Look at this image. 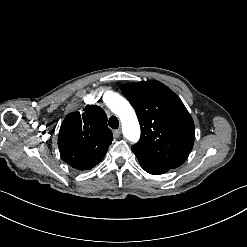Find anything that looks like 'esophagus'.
<instances>
[{"label":"esophagus","instance_id":"34e87169","mask_svg":"<svg viewBox=\"0 0 247 247\" xmlns=\"http://www.w3.org/2000/svg\"><path fill=\"white\" fill-rule=\"evenodd\" d=\"M121 135V130L117 129L113 131V136L115 139H117Z\"/></svg>","mask_w":247,"mask_h":247}]
</instances>
